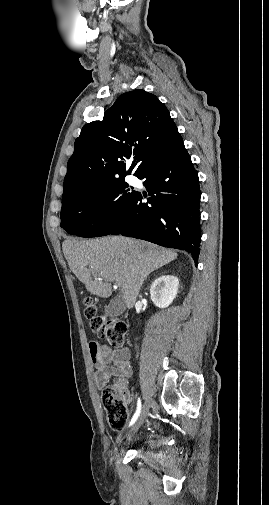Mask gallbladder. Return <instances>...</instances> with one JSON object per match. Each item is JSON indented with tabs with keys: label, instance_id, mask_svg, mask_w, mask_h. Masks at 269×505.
Returning a JSON list of instances; mask_svg holds the SVG:
<instances>
[{
	"label": "gallbladder",
	"instance_id": "bac80fb5",
	"mask_svg": "<svg viewBox=\"0 0 269 505\" xmlns=\"http://www.w3.org/2000/svg\"><path fill=\"white\" fill-rule=\"evenodd\" d=\"M125 310V302L121 296L114 297L108 305L105 306V314L110 317L121 315Z\"/></svg>",
	"mask_w": 269,
	"mask_h": 505
}]
</instances>
